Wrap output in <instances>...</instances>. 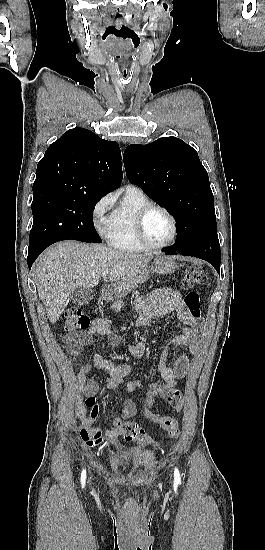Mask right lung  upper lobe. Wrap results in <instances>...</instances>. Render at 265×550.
<instances>
[{"label": "right lung upper lobe", "instance_id": "1", "mask_svg": "<svg viewBox=\"0 0 265 550\" xmlns=\"http://www.w3.org/2000/svg\"><path fill=\"white\" fill-rule=\"evenodd\" d=\"M122 176L118 144L74 128L46 150L37 165L33 194L104 196L120 185Z\"/></svg>", "mask_w": 265, "mask_h": 550}]
</instances>
